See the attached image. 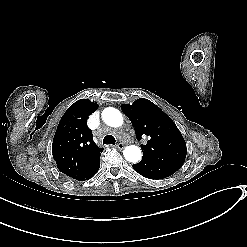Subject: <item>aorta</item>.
I'll return each mask as SVG.
<instances>
[{"label": "aorta", "mask_w": 247, "mask_h": 247, "mask_svg": "<svg viewBox=\"0 0 247 247\" xmlns=\"http://www.w3.org/2000/svg\"><path fill=\"white\" fill-rule=\"evenodd\" d=\"M102 119L110 127L118 128L123 124L121 112L113 107H107L102 112ZM124 158L132 163H138L142 158V151L138 146H127L123 151Z\"/></svg>", "instance_id": "1"}]
</instances>
